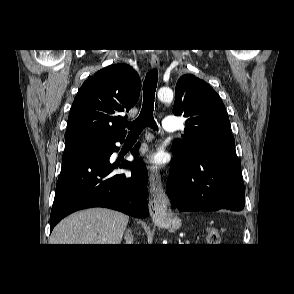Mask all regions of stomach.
Segmentation results:
<instances>
[{"label": "stomach", "mask_w": 294, "mask_h": 294, "mask_svg": "<svg viewBox=\"0 0 294 294\" xmlns=\"http://www.w3.org/2000/svg\"><path fill=\"white\" fill-rule=\"evenodd\" d=\"M161 224L164 227H168L172 230H175L180 226L181 221L178 218H166L162 220Z\"/></svg>", "instance_id": "0dacf381"}]
</instances>
